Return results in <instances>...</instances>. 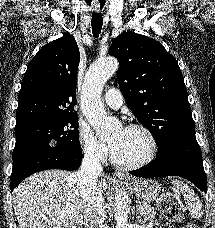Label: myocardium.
Here are the masks:
<instances>
[{"mask_svg":"<svg viewBox=\"0 0 215 228\" xmlns=\"http://www.w3.org/2000/svg\"><path fill=\"white\" fill-rule=\"evenodd\" d=\"M125 129L126 130L137 129V130H140L143 132V134L146 137L147 143H148L147 152L141 159H139L138 161L133 162V163L120 162L115 159L113 152H111V162L118 169L135 170V169H138V168H141V167L147 165L148 163H150L152 161V159L155 157L156 152H157V143H156V139H155V136L152 133V131L144 124L132 123V124H129Z\"/></svg>","mask_w":215,"mask_h":228,"instance_id":"myocardium-1","label":"myocardium"}]
</instances>
